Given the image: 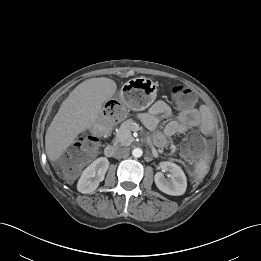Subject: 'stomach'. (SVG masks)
I'll return each instance as SVG.
<instances>
[{
	"mask_svg": "<svg viewBox=\"0 0 261 261\" xmlns=\"http://www.w3.org/2000/svg\"><path fill=\"white\" fill-rule=\"evenodd\" d=\"M156 84L147 78H133L121 88L120 103L127 109L141 111L156 98Z\"/></svg>",
	"mask_w": 261,
	"mask_h": 261,
	"instance_id": "obj_1",
	"label": "stomach"
}]
</instances>
